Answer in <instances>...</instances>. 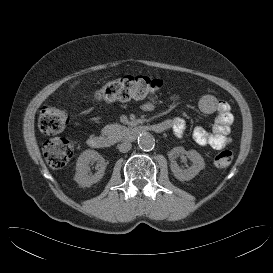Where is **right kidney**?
I'll return each mask as SVG.
<instances>
[{
	"label": "right kidney",
	"instance_id": "obj_1",
	"mask_svg": "<svg viewBox=\"0 0 273 273\" xmlns=\"http://www.w3.org/2000/svg\"><path fill=\"white\" fill-rule=\"evenodd\" d=\"M91 161L98 163V170L94 175H89V164ZM105 161L95 150H85L79 156L76 163L75 181L82 187H90L100 181L105 172Z\"/></svg>",
	"mask_w": 273,
	"mask_h": 273
}]
</instances>
